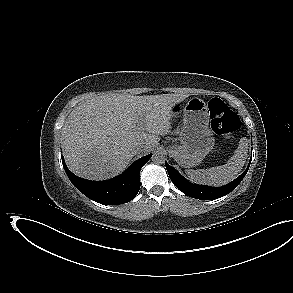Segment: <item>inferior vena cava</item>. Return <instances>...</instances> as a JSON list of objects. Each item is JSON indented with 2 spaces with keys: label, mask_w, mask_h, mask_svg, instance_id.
Listing matches in <instances>:
<instances>
[{
  "label": "inferior vena cava",
  "mask_w": 293,
  "mask_h": 293,
  "mask_svg": "<svg viewBox=\"0 0 293 293\" xmlns=\"http://www.w3.org/2000/svg\"><path fill=\"white\" fill-rule=\"evenodd\" d=\"M141 149H142V146L141 145H139V146L136 147V151L137 152L140 151Z\"/></svg>",
  "instance_id": "602c4592"
}]
</instances>
